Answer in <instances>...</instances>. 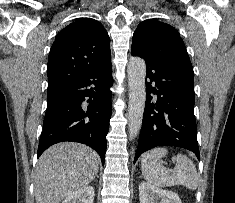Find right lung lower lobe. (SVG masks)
<instances>
[{
    "label": "right lung lower lobe",
    "instance_id": "1",
    "mask_svg": "<svg viewBox=\"0 0 235 203\" xmlns=\"http://www.w3.org/2000/svg\"><path fill=\"white\" fill-rule=\"evenodd\" d=\"M112 84L109 61L48 92L38 157L55 143L73 141L96 150L104 164Z\"/></svg>",
    "mask_w": 235,
    "mask_h": 203
}]
</instances>
